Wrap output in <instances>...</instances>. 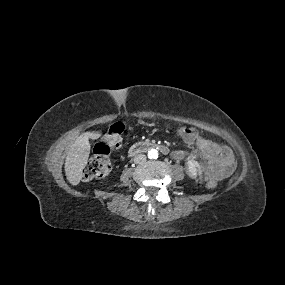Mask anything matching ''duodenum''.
I'll return each mask as SVG.
<instances>
[{
    "instance_id": "obj_1",
    "label": "duodenum",
    "mask_w": 285,
    "mask_h": 285,
    "mask_svg": "<svg viewBox=\"0 0 285 285\" xmlns=\"http://www.w3.org/2000/svg\"><path fill=\"white\" fill-rule=\"evenodd\" d=\"M152 148L158 149L164 154H167L168 152V148L163 144L151 143V142H139L130 147L128 154L130 156H133Z\"/></svg>"
}]
</instances>
